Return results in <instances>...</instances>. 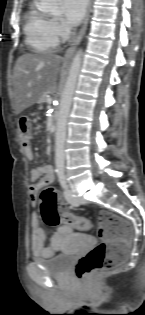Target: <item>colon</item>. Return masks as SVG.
Here are the masks:
<instances>
[{
  "label": "colon",
  "instance_id": "colon-1",
  "mask_svg": "<svg viewBox=\"0 0 145 315\" xmlns=\"http://www.w3.org/2000/svg\"><path fill=\"white\" fill-rule=\"evenodd\" d=\"M19 127L24 146L32 138V121L28 116H22ZM41 215L44 222L51 226L61 223L70 225L78 230L90 228L87 219L77 217L67 210V206L59 194L50 187L41 190ZM99 236L101 242L79 259L76 264V276L85 282H90L117 267L126 257L131 242L132 227L130 223L111 211L99 214Z\"/></svg>",
  "mask_w": 145,
  "mask_h": 315
}]
</instances>
